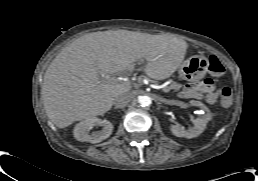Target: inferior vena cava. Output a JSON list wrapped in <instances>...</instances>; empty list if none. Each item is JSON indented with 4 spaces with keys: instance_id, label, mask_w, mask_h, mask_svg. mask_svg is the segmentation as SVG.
I'll return each mask as SVG.
<instances>
[{
    "instance_id": "inferior-vena-cava-1",
    "label": "inferior vena cava",
    "mask_w": 258,
    "mask_h": 181,
    "mask_svg": "<svg viewBox=\"0 0 258 181\" xmlns=\"http://www.w3.org/2000/svg\"><path fill=\"white\" fill-rule=\"evenodd\" d=\"M132 99V95L130 93L120 94L115 98L114 105L116 108L125 107Z\"/></svg>"
}]
</instances>
